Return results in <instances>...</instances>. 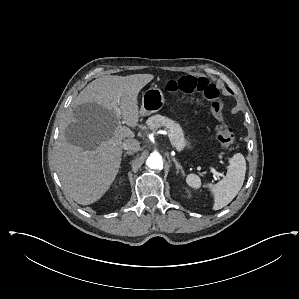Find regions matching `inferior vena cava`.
<instances>
[{
	"instance_id": "obj_1",
	"label": "inferior vena cava",
	"mask_w": 299,
	"mask_h": 299,
	"mask_svg": "<svg viewBox=\"0 0 299 299\" xmlns=\"http://www.w3.org/2000/svg\"><path fill=\"white\" fill-rule=\"evenodd\" d=\"M122 148L128 152H137L140 148V142L136 139H126L122 143Z\"/></svg>"
}]
</instances>
